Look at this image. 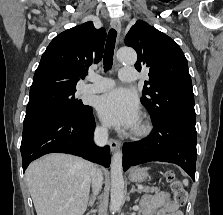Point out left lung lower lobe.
Segmentation results:
<instances>
[{"mask_svg": "<svg viewBox=\"0 0 223 215\" xmlns=\"http://www.w3.org/2000/svg\"><path fill=\"white\" fill-rule=\"evenodd\" d=\"M151 134L138 142L123 145V168L151 161L175 163L195 181L196 140L195 120L180 117L152 119Z\"/></svg>", "mask_w": 223, "mask_h": 215, "instance_id": "obj_1", "label": "left lung lower lobe"}]
</instances>
